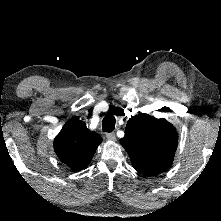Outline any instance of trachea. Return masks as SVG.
Returning <instances> with one entry per match:
<instances>
[{
	"mask_svg": "<svg viewBox=\"0 0 221 221\" xmlns=\"http://www.w3.org/2000/svg\"><path fill=\"white\" fill-rule=\"evenodd\" d=\"M116 120L113 115L108 114L103 118L102 130L104 132H112L115 128Z\"/></svg>",
	"mask_w": 221,
	"mask_h": 221,
	"instance_id": "obj_1",
	"label": "trachea"
}]
</instances>
